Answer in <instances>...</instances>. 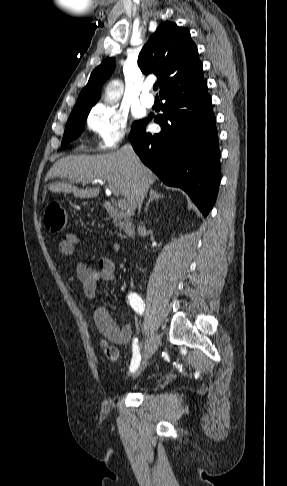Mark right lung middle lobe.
<instances>
[{
    "instance_id": "1",
    "label": "right lung middle lobe",
    "mask_w": 287,
    "mask_h": 486,
    "mask_svg": "<svg viewBox=\"0 0 287 486\" xmlns=\"http://www.w3.org/2000/svg\"><path fill=\"white\" fill-rule=\"evenodd\" d=\"M90 109L77 114H71L67 124L61 145L68 144L74 140L82 131ZM137 124L135 122L133 126Z\"/></svg>"
}]
</instances>
